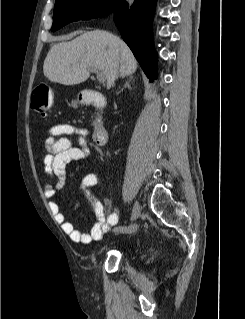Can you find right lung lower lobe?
I'll list each match as a JSON object with an SVG mask.
<instances>
[{
	"instance_id": "98d812e1",
	"label": "right lung lower lobe",
	"mask_w": 245,
	"mask_h": 319,
	"mask_svg": "<svg viewBox=\"0 0 245 319\" xmlns=\"http://www.w3.org/2000/svg\"><path fill=\"white\" fill-rule=\"evenodd\" d=\"M156 2L157 0H134L129 5L126 0H118L114 7V22L150 81L157 77V55L152 36Z\"/></svg>"
}]
</instances>
